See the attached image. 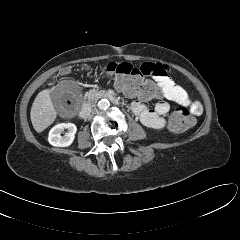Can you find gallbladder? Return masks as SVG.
Masks as SVG:
<instances>
[{
  "mask_svg": "<svg viewBox=\"0 0 240 240\" xmlns=\"http://www.w3.org/2000/svg\"><path fill=\"white\" fill-rule=\"evenodd\" d=\"M70 85H71L70 82H64L61 85L55 87L50 93V96H51L54 106L60 112H62V107L66 108V106H65L64 102L59 103L58 98L62 97L65 92L69 91ZM62 99H63V97H62ZM62 99H61V101H62Z\"/></svg>",
  "mask_w": 240,
  "mask_h": 240,
  "instance_id": "1",
  "label": "gallbladder"
}]
</instances>
